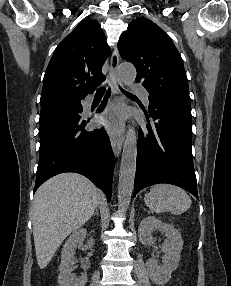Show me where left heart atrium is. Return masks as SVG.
Segmentation results:
<instances>
[{
    "label": "left heart atrium",
    "mask_w": 231,
    "mask_h": 286,
    "mask_svg": "<svg viewBox=\"0 0 231 286\" xmlns=\"http://www.w3.org/2000/svg\"><path fill=\"white\" fill-rule=\"evenodd\" d=\"M125 121V111L120 106H115L103 113L98 123L111 135L118 136L122 133Z\"/></svg>",
    "instance_id": "1"
}]
</instances>
